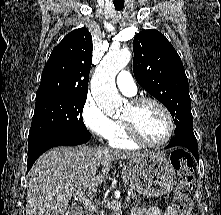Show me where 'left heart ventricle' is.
<instances>
[{"label": "left heart ventricle", "instance_id": "obj_1", "mask_svg": "<svg viewBox=\"0 0 221 215\" xmlns=\"http://www.w3.org/2000/svg\"><path fill=\"white\" fill-rule=\"evenodd\" d=\"M121 118L132 119L140 135L150 143L160 142L167 133L168 123L164 113L151 102L136 108L128 104Z\"/></svg>", "mask_w": 221, "mask_h": 215}]
</instances>
